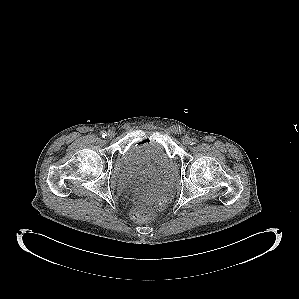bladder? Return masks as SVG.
<instances>
[{"mask_svg":"<svg viewBox=\"0 0 299 299\" xmlns=\"http://www.w3.org/2000/svg\"><path fill=\"white\" fill-rule=\"evenodd\" d=\"M144 164L158 167L170 178L175 175V168L162 136L132 141L116 160L113 173L118 181H122Z\"/></svg>","mask_w":299,"mask_h":299,"instance_id":"1","label":"bladder"}]
</instances>
